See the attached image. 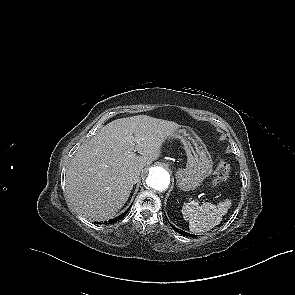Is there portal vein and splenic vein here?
Masks as SVG:
<instances>
[{"label": "portal vein and splenic vein", "instance_id": "obj_1", "mask_svg": "<svg viewBox=\"0 0 295 295\" xmlns=\"http://www.w3.org/2000/svg\"><path fill=\"white\" fill-rule=\"evenodd\" d=\"M134 155H135V153L132 152V153H131V156H134Z\"/></svg>", "mask_w": 295, "mask_h": 295}]
</instances>
